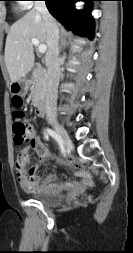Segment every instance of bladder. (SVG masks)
Instances as JSON below:
<instances>
[{
  "mask_svg": "<svg viewBox=\"0 0 133 253\" xmlns=\"http://www.w3.org/2000/svg\"><path fill=\"white\" fill-rule=\"evenodd\" d=\"M32 198L45 206H57L63 202L60 193L41 190L32 194Z\"/></svg>",
  "mask_w": 133,
  "mask_h": 253,
  "instance_id": "31cf9c89",
  "label": "bladder"
}]
</instances>
